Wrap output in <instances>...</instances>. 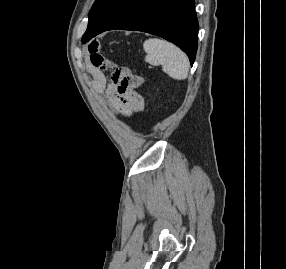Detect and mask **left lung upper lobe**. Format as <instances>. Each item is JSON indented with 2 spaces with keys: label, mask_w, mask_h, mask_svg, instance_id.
<instances>
[{
  "label": "left lung upper lobe",
  "mask_w": 286,
  "mask_h": 269,
  "mask_svg": "<svg viewBox=\"0 0 286 269\" xmlns=\"http://www.w3.org/2000/svg\"><path fill=\"white\" fill-rule=\"evenodd\" d=\"M143 0H96L89 12V23L82 41L88 42L102 29L113 25Z\"/></svg>",
  "instance_id": "5c2ea615"
}]
</instances>
